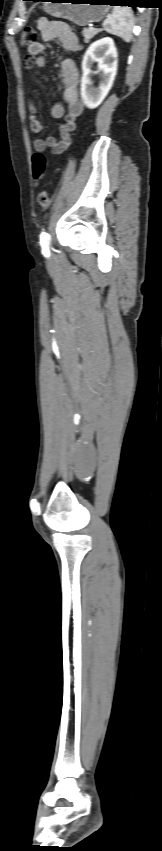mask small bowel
Wrapping results in <instances>:
<instances>
[{
  "mask_svg": "<svg viewBox=\"0 0 162 851\" xmlns=\"http://www.w3.org/2000/svg\"><path fill=\"white\" fill-rule=\"evenodd\" d=\"M38 28L41 31L43 41L36 42L27 48L28 56L24 59L26 67L41 68L46 65V59L42 53L47 43L57 40L61 46L70 51L78 50L80 45L78 38L71 27L62 21H50L46 18L38 20ZM61 77L65 85L63 97L67 103V109L61 104H54L51 115L57 119H63L59 125L57 135L48 136L45 139H36L34 149L42 152L47 148L51 154H62L71 144V136L76 128V120L83 113L84 105L79 98L78 83L79 72L71 59H65L61 63ZM30 113V129L34 133H42L45 129L44 122L37 117L38 106L35 102L28 103Z\"/></svg>",
  "mask_w": 162,
  "mask_h": 851,
  "instance_id": "obj_1",
  "label": "small bowel"
}]
</instances>
